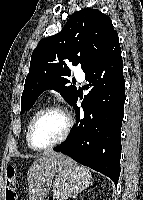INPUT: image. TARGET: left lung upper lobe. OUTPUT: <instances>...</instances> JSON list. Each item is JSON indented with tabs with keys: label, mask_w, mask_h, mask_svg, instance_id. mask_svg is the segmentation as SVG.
Wrapping results in <instances>:
<instances>
[{
	"label": "left lung upper lobe",
	"mask_w": 143,
	"mask_h": 200,
	"mask_svg": "<svg viewBox=\"0 0 143 200\" xmlns=\"http://www.w3.org/2000/svg\"><path fill=\"white\" fill-rule=\"evenodd\" d=\"M118 34L109 16L95 9L75 12L61 32L42 39L34 49L21 97V113L29 110L47 89L59 91L72 104L75 86H67L71 75L68 63L86 71Z\"/></svg>",
	"instance_id": "obj_1"
}]
</instances>
